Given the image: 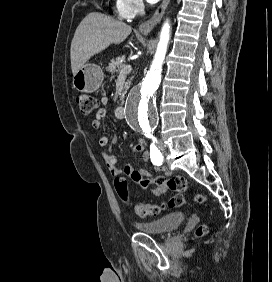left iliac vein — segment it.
Segmentation results:
<instances>
[{
  "instance_id": "4c4485c4",
  "label": "left iliac vein",
  "mask_w": 272,
  "mask_h": 282,
  "mask_svg": "<svg viewBox=\"0 0 272 282\" xmlns=\"http://www.w3.org/2000/svg\"><path fill=\"white\" fill-rule=\"evenodd\" d=\"M160 149H161V151L164 153V151H165V145H164V143H163L162 140H161V142H160Z\"/></svg>"
}]
</instances>
